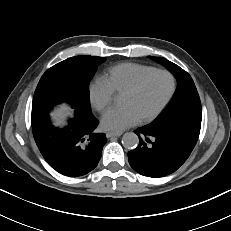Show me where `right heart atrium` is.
I'll return each mask as SVG.
<instances>
[{
	"instance_id": "d8ad5b80",
	"label": "right heart atrium",
	"mask_w": 231,
	"mask_h": 231,
	"mask_svg": "<svg viewBox=\"0 0 231 231\" xmlns=\"http://www.w3.org/2000/svg\"><path fill=\"white\" fill-rule=\"evenodd\" d=\"M114 92L102 77L94 79L89 86V99L92 106L99 112H104L113 102Z\"/></svg>"
}]
</instances>
